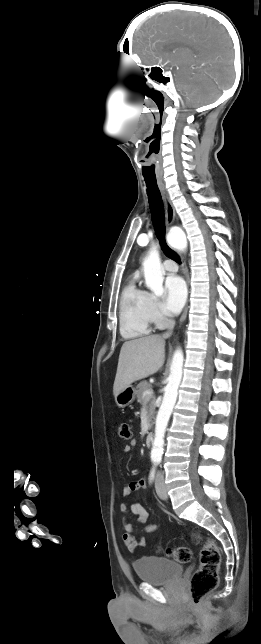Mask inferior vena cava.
Masks as SVG:
<instances>
[{"instance_id": "inferior-vena-cava-1", "label": "inferior vena cava", "mask_w": 261, "mask_h": 644, "mask_svg": "<svg viewBox=\"0 0 261 644\" xmlns=\"http://www.w3.org/2000/svg\"><path fill=\"white\" fill-rule=\"evenodd\" d=\"M173 326H174V321L172 320V321H170V330L173 328ZM169 334H170V333H166V334H164V337L169 336Z\"/></svg>"}]
</instances>
